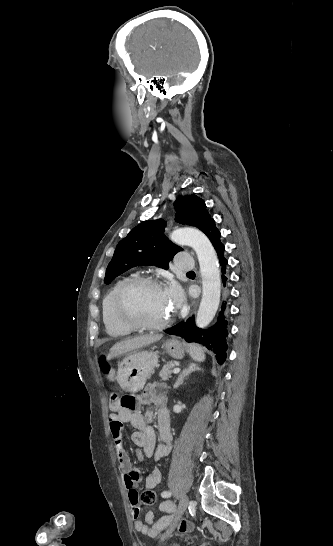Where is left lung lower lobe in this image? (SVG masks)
I'll use <instances>...</instances> for the list:
<instances>
[{
  "mask_svg": "<svg viewBox=\"0 0 333 546\" xmlns=\"http://www.w3.org/2000/svg\"><path fill=\"white\" fill-rule=\"evenodd\" d=\"M220 232L215 226V223H212L210 232L207 237L210 239L212 245L214 246L216 252L218 253L219 262L221 265L222 279L225 285L227 280L224 274L226 273L227 260L224 258L225 247L220 241ZM226 305L222 304V311L219 313V317L214 326L209 330H203L195 325L194 316L189 318L186 322H180L179 324L165 330L166 333L170 335H176L184 338L187 342H197L206 346L209 350H212L215 353L217 362L223 364L226 359V350L227 342L226 336L228 335L226 326H227V314L228 311L224 312Z\"/></svg>",
  "mask_w": 333,
  "mask_h": 546,
  "instance_id": "left-lung-lower-lobe-1",
  "label": "left lung lower lobe"
}]
</instances>
